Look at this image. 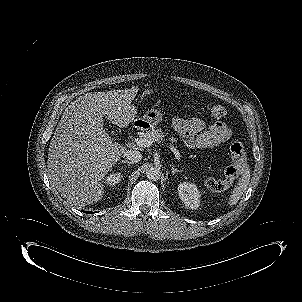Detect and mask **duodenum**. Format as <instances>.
<instances>
[{
    "mask_svg": "<svg viewBox=\"0 0 302 302\" xmlns=\"http://www.w3.org/2000/svg\"><path fill=\"white\" fill-rule=\"evenodd\" d=\"M142 125H143V122H142V121H136V122H134V124H133V128H135V129H140V128L142 127Z\"/></svg>",
    "mask_w": 302,
    "mask_h": 302,
    "instance_id": "410a0bca",
    "label": "duodenum"
}]
</instances>
